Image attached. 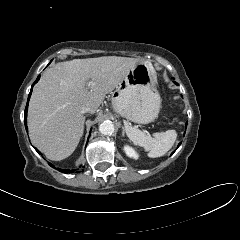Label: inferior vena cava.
Segmentation results:
<instances>
[{
	"mask_svg": "<svg viewBox=\"0 0 240 240\" xmlns=\"http://www.w3.org/2000/svg\"><path fill=\"white\" fill-rule=\"evenodd\" d=\"M91 111V108L89 107V106H84V107H82V109H81V112L82 113H87V112H90Z\"/></svg>",
	"mask_w": 240,
	"mask_h": 240,
	"instance_id": "obj_1",
	"label": "inferior vena cava"
}]
</instances>
